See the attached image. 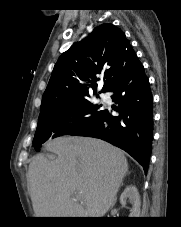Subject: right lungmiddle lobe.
<instances>
[{"mask_svg": "<svg viewBox=\"0 0 181 227\" xmlns=\"http://www.w3.org/2000/svg\"><path fill=\"white\" fill-rule=\"evenodd\" d=\"M88 97L63 102L40 110L38 126L33 139L34 148L39 151L41 144L49 138L75 135L97 122L104 110L100 109L101 105H92ZM71 116L74 117L76 123L73 126H68L67 119Z\"/></svg>", "mask_w": 181, "mask_h": 227, "instance_id": "obj_1", "label": "right lung middle lobe"}]
</instances>
